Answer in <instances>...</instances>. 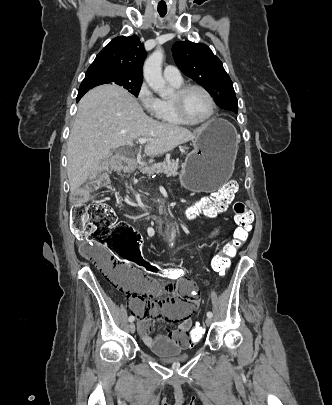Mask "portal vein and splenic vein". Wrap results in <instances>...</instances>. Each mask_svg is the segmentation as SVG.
Here are the masks:
<instances>
[{"instance_id": "18ae733b", "label": "portal vein and splenic vein", "mask_w": 332, "mask_h": 405, "mask_svg": "<svg viewBox=\"0 0 332 405\" xmlns=\"http://www.w3.org/2000/svg\"><path fill=\"white\" fill-rule=\"evenodd\" d=\"M139 144H145L146 142H148V139L146 138H139L138 139Z\"/></svg>"}]
</instances>
